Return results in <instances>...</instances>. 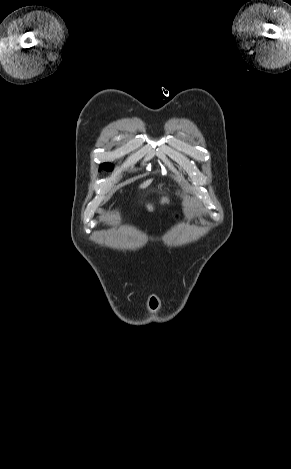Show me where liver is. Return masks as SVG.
<instances>
[{"label":"liver","instance_id":"6515ba94","mask_svg":"<svg viewBox=\"0 0 291 469\" xmlns=\"http://www.w3.org/2000/svg\"><path fill=\"white\" fill-rule=\"evenodd\" d=\"M151 182H152V179L143 182V183L140 185V188H146V187H148V186L151 184Z\"/></svg>","mask_w":291,"mask_h":469}]
</instances>
